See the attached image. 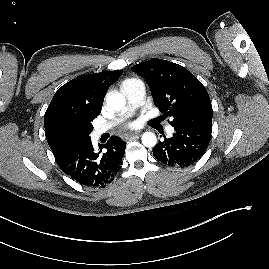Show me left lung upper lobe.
Returning a JSON list of instances; mask_svg holds the SVG:
<instances>
[{"instance_id":"5c2ea615","label":"left lung upper lobe","mask_w":269,"mask_h":269,"mask_svg":"<svg viewBox=\"0 0 269 269\" xmlns=\"http://www.w3.org/2000/svg\"><path fill=\"white\" fill-rule=\"evenodd\" d=\"M148 83L154 104L173 118L175 127L212 126V105L205 87L186 68L162 59H152L131 68Z\"/></svg>"}]
</instances>
